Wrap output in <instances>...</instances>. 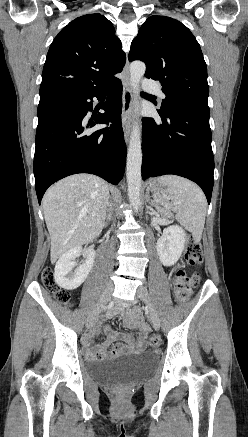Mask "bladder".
<instances>
[{"label": "bladder", "instance_id": "obj_1", "mask_svg": "<svg viewBox=\"0 0 248 437\" xmlns=\"http://www.w3.org/2000/svg\"><path fill=\"white\" fill-rule=\"evenodd\" d=\"M156 361L157 355L152 352L124 354L91 362L88 374L92 379L103 383H126L149 373Z\"/></svg>", "mask_w": 248, "mask_h": 437}]
</instances>
